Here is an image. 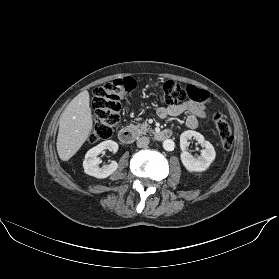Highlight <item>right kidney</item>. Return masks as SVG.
<instances>
[{
	"label": "right kidney",
	"instance_id": "obj_1",
	"mask_svg": "<svg viewBox=\"0 0 279 279\" xmlns=\"http://www.w3.org/2000/svg\"><path fill=\"white\" fill-rule=\"evenodd\" d=\"M108 149L114 153L118 150V144L112 140H106L91 148L85 155L83 161L84 172L90 176L103 179L110 176L118 168V163L116 161H111L110 164L99 167L100 159L98 155L103 152V150Z\"/></svg>",
	"mask_w": 279,
	"mask_h": 279
}]
</instances>
